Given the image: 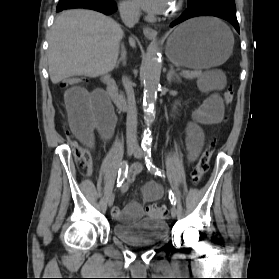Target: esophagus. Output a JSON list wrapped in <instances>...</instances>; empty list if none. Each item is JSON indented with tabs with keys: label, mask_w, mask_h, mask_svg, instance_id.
I'll list each match as a JSON object with an SVG mask.
<instances>
[{
	"label": "esophagus",
	"mask_w": 279,
	"mask_h": 279,
	"mask_svg": "<svg viewBox=\"0 0 279 279\" xmlns=\"http://www.w3.org/2000/svg\"><path fill=\"white\" fill-rule=\"evenodd\" d=\"M143 33H144L145 37L150 40H155L158 35L157 31L149 26H147L143 29Z\"/></svg>",
	"instance_id": "34e87169"
}]
</instances>
